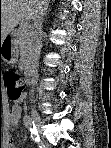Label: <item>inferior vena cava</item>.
<instances>
[{"label": "inferior vena cava", "mask_w": 111, "mask_h": 148, "mask_svg": "<svg viewBox=\"0 0 111 148\" xmlns=\"http://www.w3.org/2000/svg\"><path fill=\"white\" fill-rule=\"evenodd\" d=\"M48 0H42L37 3L36 10L32 15V26L30 31L31 39V56L36 63L41 49V34H42V22L44 12L47 7ZM33 92V91H32Z\"/></svg>", "instance_id": "1"}]
</instances>
